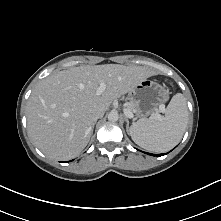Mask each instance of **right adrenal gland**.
<instances>
[{"label": "right adrenal gland", "instance_id": "1", "mask_svg": "<svg viewBox=\"0 0 221 221\" xmlns=\"http://www.w3.org/2000/svg\"><path fill=\"white\" fill-rule=\"evenodd\" d=\"M95 124H96V122H94L93 125H92V133H93Z\"/></svg>", "mask_w": 221, "mask_h": 221}]
</instances>
